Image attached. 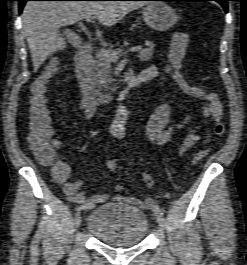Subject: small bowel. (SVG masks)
<instances>
[{
    "instance_id": "small-bowel-1",
    "label": "small bowel",
    "mask_w": 247,
    "mask_h": 265,
    "mask_svg": "<svg viewBox=\"0 0 247 265\" xmlns=\"http://www.w3.org/2000/svg\"><path fill=\"white\" fill-rule=\"evenodd\" d=\"M164 71L169 74L170 67L166 65ZM158 75L159 70L155 66L148 67L138 74L143 82L155 79ZM208 99L207 102L200 100L202 107L201 118L199 120L195 121L193 115L187 114L182 122L171 125L170 107L164 98H160L159 105L146 125V135L148 139L155 145H163L171 139L172 135L177 130L185 129L186 135L182 141L180 153L185 152L200 141L208 142L210 139V133L205 137H202L199 134L200 128L208 117H212L215 122L220 121L222 117V104L219 101L218 96L213 92H209ZM95 105L96 103L92 99L83 96L79 108L84 118L90 119L94 115L96 110ZM111 132L117 138H121L124 135L121 126L118 124L112 126ZM141 176L148 188L154 186V179L150 174L142 173ZM56 179L62 184L64 195L72 203L79 205L93 203L94 205H97L106 202L109 198L107 194L87 195L81 190L83 186V180L81 178L77 180H68V168L65 176L56 177ZM122 190L123 186L121 184H116L114 186V191L116 193L112 197L114 201L127 203L144 210L151 209L154 206L155 199L153 197H147L145 200H140L135 197H126L120 194Z\"/></svg>"
}]
</instances>
